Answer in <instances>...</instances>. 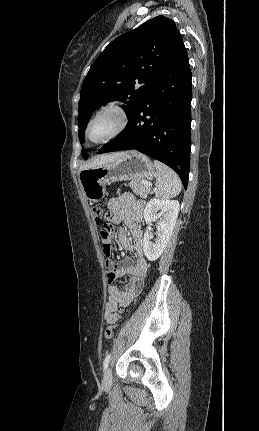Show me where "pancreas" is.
I'll list each match as a JSON object with an SVG mask.
<instances>
[{
  "instance_id": "pancreas-1",
  "label": "pancreas",
  "mask_w": 259,
  "mask_h": 431,
  "mask_svg": "<svg viewBox=\"0 0 259 431\" xmlns=\"http://www.w3.org/2000/svg\"><path fill=\"white\" fill-rule=\"evenodd\" d=\"M130 187L136 195H139L141 198H147L150 193L149 184H144L142 180H133L130 182Z\"/></svg>"
}]
</instances>
